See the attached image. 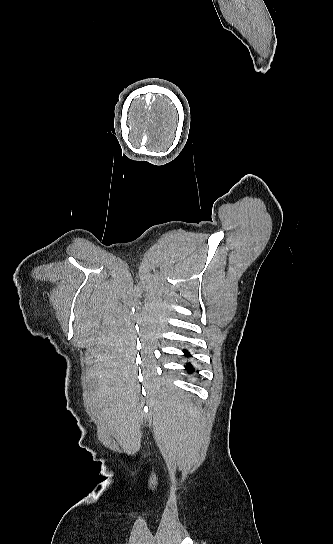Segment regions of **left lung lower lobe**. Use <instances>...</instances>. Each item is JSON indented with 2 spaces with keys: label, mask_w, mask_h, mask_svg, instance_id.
Listing matches in <instances>:
<instances>
[{
  "label": "left lung lower lobe",
  "mask_w": 333,
  "mask_h": 544,
  "mask_svg": "<svg viewBox=\"0 0 333 544\" xmlns=\"http://www.w3.org/2000/svg\"><path fill=\"white\" fill-rule=\"evenodd\" d=\"M183 352L185 353L186 356H190L189 352L187 350H183ZM186 368L188 370L189 373H192L193 371V366L190 364V363H187L186 364Z\"/></svg>",
  "instance_id": "0a47b994"
}]
</instances>
